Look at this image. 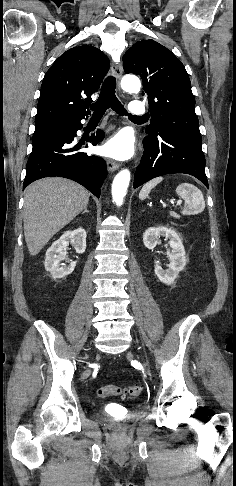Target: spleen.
Listing matches in <instances>:
<instances>
[{"label": "spleen", "mask_w": 236, "mask_h": 486, "mask_svg": "<svg viewBox=\"0 0 236 486\" xmlns=\"http://www.w3.org/2000/svg\"><path fill=\"white\" fill-rule=\"evenodd\" d=\"M162 177H157L147 182L139 193V198L144 200L148 197L150 191L161 181ZM176 193L184 201L185 206L182 210L184 215H193L201 213L205 209V200L202 192L193 184L182 183L176 188Z\"/></svg>", "instance_id": "spleen-1"}]
</instances>
